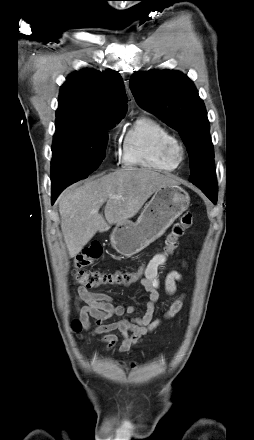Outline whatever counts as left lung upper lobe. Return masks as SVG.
<instances>
[{"mask_svg": "<svg viewBox=\"0 0 254 440\" xmlns=\"http://www.w3.org/2000/svg\"><path fill=\"white\" fill-rule=\"evenodd\" d=\"M130 88L138 104L176 129L190 157V181L214 203L217 181L209 121L193 82L178 71L135 73Z\"/></svg>", "mask_w": 254, "mask_h": 440, "instance_id": "1", "label": "left lung upper lobe"}]
</instances>
